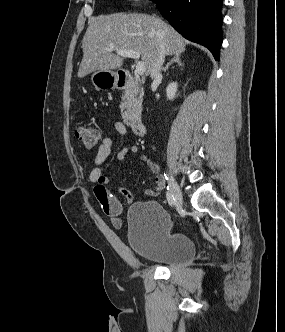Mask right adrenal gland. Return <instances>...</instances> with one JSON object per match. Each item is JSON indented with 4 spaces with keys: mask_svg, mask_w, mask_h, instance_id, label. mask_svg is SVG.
<instances>
[{
    "mask_svg": "<svg viewBox=\"0 0 285 332\" xmlns=\"http://www.w3.org/2000/svg\"><path fill=\"white\" fill-rule=\"evenodd\" d=\"M181 53L174 55V57L171 59L170 62L167 63V65L163 68V72H167L170 65L172 63H177L179 66H183V63L181 62Z\"/></svg>",
    "mask_w": 285,
    "mask_h": 332,
    "instance_id": "1",
    "label": "right adrenal gland"
}]
</instances>
